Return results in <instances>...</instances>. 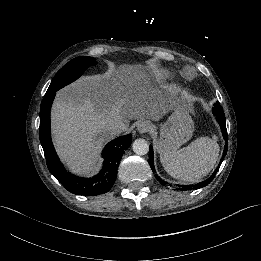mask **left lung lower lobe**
<instances>
[{
    "instance_id": "left-lung-lower-lobe-1",
    "label": "left lung lower lobe",
    "mask_w": 261,
    "mask_h": 261,
    "mask_svg": "<svg viewBox=\"0 0 261 261\" xmlns=\"http://www.w3.org/2000/svg\"><path fill=\"white\" fill-rule=\"evenodd\" d=\"M212 111H213V115L216 117V120L220 125L223 138L227 141L228 135H227V130H226L225 114H224L223 108H222V106L220 105L219 102H216L214 104ZM227 150H228V144L226 143L225 148H224V152H223V157L221 158L220 163L223 161L224 156L227 153ZM153 156H154L153 148H152V146H150V148H149V164L151 166V169L155 172ZM218 169H219V167L216 168L214 173L207 180L200 182V183H197L196 185L182 186V189L191 190V189H199V188L207 186L214 179Z\"/></svg>"
}]
</instances>
